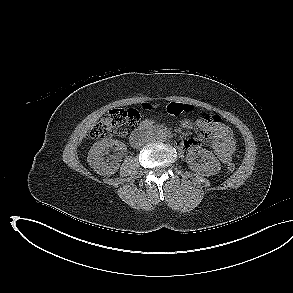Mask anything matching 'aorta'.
I'll return each mask as SVG.
<instances>
[{
    "instance_id": "aorta-1",
    "label": "aorta",
    "mask_w": 293,
    "mask_h": 293,
    "mask_svg": "<svg viewBox=\"0 0 293 293\" xmlns=\"http://www.w3.org/2000/svg\"><path fill=\"white\" fill-rule=\"evenodd\" d=\"M157 139L160 141V142H165L167 140V135L165 133H162L160 134Z\"/></svg>"
}]
</instances>
